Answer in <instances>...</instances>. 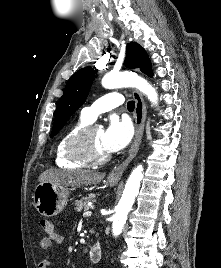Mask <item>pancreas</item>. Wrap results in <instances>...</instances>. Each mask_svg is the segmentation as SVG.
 <instances>
[{
	"mask_svg": "<svg viewBox=\"0 0 221 268\" xmlns=\"http://www.w3.org/2000/svg\"><path fill=\"white\" fill-rule=\"evenodd\" d=\"M90 201H95V195L94 194H91L89 196H86V197H82L81 199L79 200H76L75 201V209L77 211H81L82 209H86L88 208V202Z\"/></svg>",
	"mask_w": 221,
	"mask_h": 268,
	"instance_id": "cf45deb5",
	"label": "pancreas"
}]
</instances>
